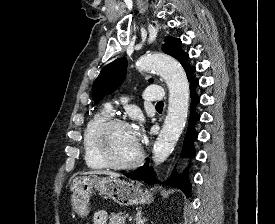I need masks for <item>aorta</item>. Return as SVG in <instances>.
Wrapping results in <instances>:
<instances>
[{
	"label": "aorta",
	"mask_w": 275,
	"mask_h": 224,
	"mask_svg": "<svg viewBox=\"0 0 275 224\" xmlns=\"http://www.w3.org/2000/svg\"><path fill=\"white\" fill-rule=\"evenodd\" d=\"M140 70H153L169 89L168 113L153 147V160L163 163L173 151L185 126L189 108V83L183 67L173 58L153 54L142 56L136 63Z\"/></svg>",
	"instance_id": "obj_1"
}]
</instances>
